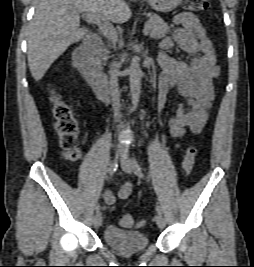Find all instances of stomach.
I'll list each match as a JSON object with an SVG mask.
<instances>
[{
  "label": "stomach",
  "mask_w": 254,
  "mask_h": 267,
  "mask_svg": "<svg viewBox=\"0 0 254 267\" xmlns=\"http://www.w3.org/2000/svg\"><path fill=\"white\" fill-rule=\"evenodd\" d=\"M148 5L159 12H170L181 4L182 0H146Z\"/></svg>",
  "instance_id": "obj_1"
}]
</instances>
